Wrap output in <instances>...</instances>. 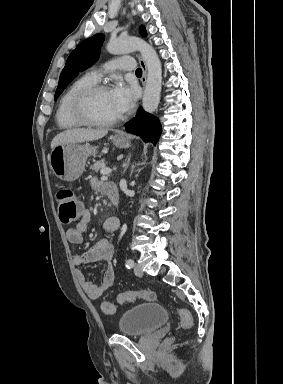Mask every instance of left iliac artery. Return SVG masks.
Segmentation results:
<instances>
[{
	"label": "left iliac artery",
	"mask_w": 283,
	"mask_h": 384,
	"mask_svg": "<svg viewBox=\"0 0 283 384\" xmlns=\"http://www.w3.org/2000/svg\"><path fill=\"white\" fill-rule=\"evenodd\" d=\"M134 266V261L132 260V259H128L127 261H126V267L128 268V269H130V268H132Z\"/></svg>",
	"instance_id": "left-iliac-artery-1"
}]
</instances>
